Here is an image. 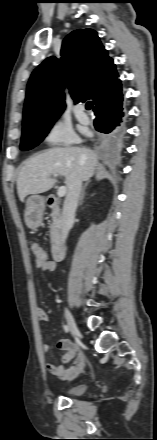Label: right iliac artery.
Wrapping results in <instances>:
<instances>
[{
	"mask_svg": "<svg viewBox=\"0 0 157 440\" xmlns=\"http://www.w3.org/2000/svg\"><path fill=\"white\" fill-rule=\"evenodd\" d=\"M63 328H64V330H65V332H66V333H68V332H69V328H68V326H67V325H64V326H63Z\"/></svg>",
	"mask_w": 157,
	"mask_h": 440,
	"instance_id": "obj_1",
	"label": "right iliac artery"
}]
</instances>
